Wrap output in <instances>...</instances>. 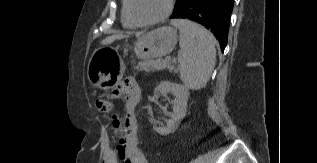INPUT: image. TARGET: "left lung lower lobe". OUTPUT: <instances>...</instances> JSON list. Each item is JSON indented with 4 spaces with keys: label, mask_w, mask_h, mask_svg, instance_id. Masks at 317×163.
Instances as JSON below:
<instances>
[{
    "label": "left lung lower lobe",
    "mask_w": 317,
    "mask_h": 163,
    "mask_svg": "<svg viewBox=\"0 0 317 163\" xmlns=\"http://www.w3.org/2000/svg\"><path fill=\"white\" fill-rule=\"evenodd\" d=\"M233 3L234 0H178L170 18L200 23L216 36L223 51L227 45Z\"/></svg>",
    "instance_id": "obj_1"
}]
</instances>
